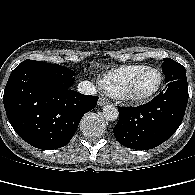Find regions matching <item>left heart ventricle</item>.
I'll return each mask as SVG.
<instances>
[{"mask_svg": "<svg viewBox=\"0 0 195 195\" xmlns=\"http://www.w3.org/2000/svg\"><path fill=\"white\" fill-rule=\"evenodd\" d=\"M159 76L154 71H146L136 80L133 91L135 94H145L152 91L158 84Z\"/></svg>", "mask_w": 195, "mask_h": 195, "instance_id": "1", "label": "left heart ventricle"}]
</instances>
